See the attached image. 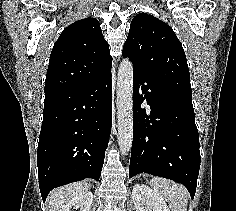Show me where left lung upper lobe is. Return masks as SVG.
Segmentation results:
<instances>
[{
    "mask_svg": "<svg viewBox=\"0 0 236 211\" xmlns=\"http://www.w3.org/2000/svg\"><path fill=\"white\" fill-rule=\"evenodd\" d=\"M122 54L129 57L134 71L192 98L185 52L166 23L146 13L136 15Z\"/></svg>",
    "mask_w": 236,
    "mask_h": 211,
    "instance_id": "obj_1",
    "label": "left lung upper lobe"
}]
</instances>
